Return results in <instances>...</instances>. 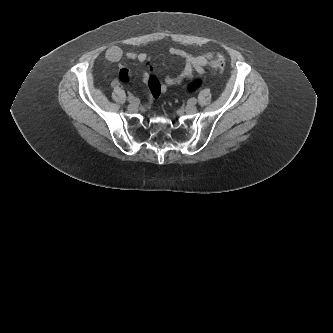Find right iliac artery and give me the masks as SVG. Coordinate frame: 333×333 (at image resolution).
I'll list each match as a JSON object with an SVG mask.
<instances>
[{
	"instance_id": "82829eb1",
	"label": "right iliac artery",
	"mask_w": 333,
	"mask_h": 333,
	"mask_svg": "<svg viewBox=\"0 0 333 333\" xmlns=\"http://www.w3.org/2000/svg\"><path fill=\"white\" fill-rule=\"evenodd\" d=\"M128 101L130 102V103H138L139 102V99H137V98H135L134 96H129L128 97Z\"/></svg>"
}]
</instances>
